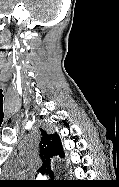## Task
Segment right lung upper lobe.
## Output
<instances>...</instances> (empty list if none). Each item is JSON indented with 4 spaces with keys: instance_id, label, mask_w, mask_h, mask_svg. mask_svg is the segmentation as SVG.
<instances>
[{
    "instance_id": "1",
    "label": "right lung upper lobe",
    "mask_w": 119,
    "mask_h": 187,
    "mask_svg": "<svg viewBox=\"0 0 119 187\" xmlns=\"http://www.w3.org/2000/svg\"><path fill=\"white\" fill-rule=\"evenodd\" d=\"M41 133L42 137L39 144V151L43 165L40 168V172H48L51 175L53 172L51 170L48 171V167H50L52 157L59 156L62 158L64 157V153L60 139L56 133L48 134L43 129H41Z\"/></svg>"
}]
</instances>
